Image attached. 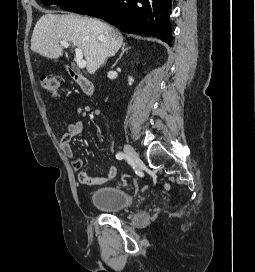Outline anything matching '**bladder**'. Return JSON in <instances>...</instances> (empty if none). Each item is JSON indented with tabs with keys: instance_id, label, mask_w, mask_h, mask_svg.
Wrapping results in <instances>:
<instances>
[{
	"instance_id": "bladder-1",
	"label": "bladder",
	"mask_w": 255,
	"mask_h": 272,
	"mask_svg": "<svg viewBox=\"0 0 255 272\" xmlns=\"http://www.w3.org/2000/svg\"><path fill=\"white\" fill-rule=\"evenodd\" d=\"M91 202L107 213H118L133 204L134 196L125 189L107 186L95 190L91 195Z\"/></svg>"
}]
</instances>
